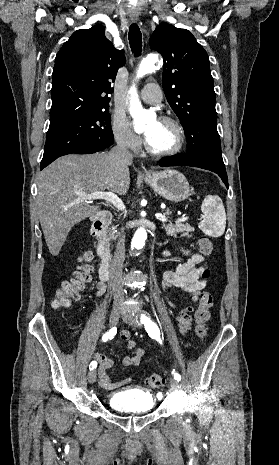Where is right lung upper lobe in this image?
Instances as JSON below:
<instances>
[{"label": "right lung upper lobe", "mask_w": 279, "mask_h": 465, "mask_svg": "<svg viewBox=\"0 0 279 465\" xmlns=\"http://www.w3.org/2000/svg\"><path fill=\"white\" fill-rule=\"evenodd\" d=\"M124 64L123 51L113 47L102 25L75 31L56 55L50 124L108 107L112 83Z\"/></svg>", "instance_id": "right-lung-upper-lobe-1"}]
</instances>
